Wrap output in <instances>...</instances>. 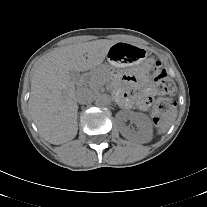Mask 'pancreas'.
<instances>
[{"mask_svg":"<svg viewBox=\"0 0 207 207\" xmlns=\"http://www.w3.org/2000/svg\"><path fill=\"white\" fill-rule=\"evenodd\" d=\"M109 82V76L104 67L97 68L89 80V87L96 90L100 85Z\"/></svg>","mask_w":207,"mask_h":207,"instance_id":"1","label":"pancreas"}]
</instances>
